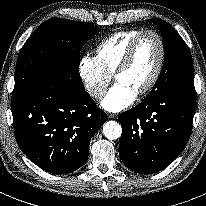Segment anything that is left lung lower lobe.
<instances>
[{
    "label": "left lung lower lobe",
    "instance_id": "0a47b994",
    "mask_svg": "<svg viewBox=\"0 0 206 206\" xmlns=\"http://www.w3.org/2000/svg\"><path fill=\"white\" fill-rule=\"evenodd\" d=\"M195 104L194 89H178L120 114L123 163L141 174L167 167L188 142Z\"/></svg>",
    "mask_w": 206,
    "mask_h": 206
}]
</instances>
